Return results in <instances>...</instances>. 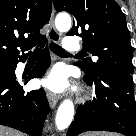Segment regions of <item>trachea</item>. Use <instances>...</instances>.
Listing matches in <instances>:
<instances>
[{
	"instance_id": "1",
	"label": "trachea",
	"mask_w": 136,
	"mask_h": 136,
	"mask_svg": "<svg viewBox=\"0 0 136 136\" xmlns=\"http://www.w3.org/2000/svg\"><path fill=\"white\" fill-rule=\"evenodd\" d=\"M50 49L57 55L59 56H67L69 55V53H67L63 48H61L60 46H58L55 43H51L50 44ZM37 52H34L33 55H37Z\"/></svg>"
}]
</instances>
